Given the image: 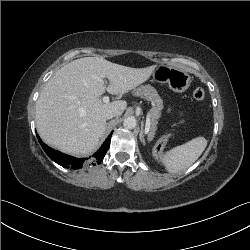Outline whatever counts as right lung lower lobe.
<instances>
[{
  "label": "right lung lower lobe",
  "instance_id": "1",
  "mask_svg": "<svg viewBox=\"0 0 250 250\" xmlns=\"http://www.w3.org/2000/svg\"><path fill=\"white\" fill-rule=\"evenodd\" d=\"M112 133L107 137V139L105 140V142L103 143V145L101 146V148L93 155L94 160L97 164L101 163L109 146H110V139L112 136ZM38 137V141L40 142L42 148L44 149V151L46 152V154L57 164L61 165L62 167H66L69 168L71 167L72 169H78L81 168L83 165V162L87 159V158H75L72 156H68L66 154H63L57 150H54L52 148H50L49 146H47L41 139L40 137L37 135ZM95 165V164H93Z\"/></svg>",
  "mask_w": 250,
  "mask_h": 250
}]
</instances>
